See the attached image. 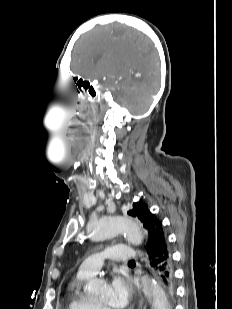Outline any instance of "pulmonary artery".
<instances>
[{"label": "pulmonary artery", "instance_id": "pulmonary-artery-1", "mask_svg": "<svg viewBox=\"0 0 232 309\" xmlns=\"http://www.w3.org/2000/svg\"><path fill=\"white\" fill-rule=\"evenodd\" d=\"M137 256V253L130 247L119 245L110 246L104 250H97L87 257L81 263L78 274L92 277L99 271L104 259L125 263Z\"/></svg>", "mask_w": 232, "mask_h": 309}]
</instances>
